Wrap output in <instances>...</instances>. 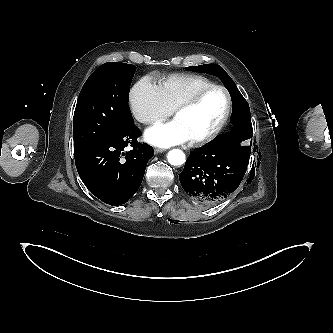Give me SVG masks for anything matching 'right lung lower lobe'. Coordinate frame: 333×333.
<instances>
[{
	"label": "right lung lower lobe",
	"mask_w": 333,
	"mask_h": 333,
	"mask_svg": "<svg viewBox=\"0 0 333 333\" xmlns=\"http://www.w3.org/2000/svg\"><path fill=\"white\" fill-rule=\"evenodd\" d=\"M134 123L120 134L100 141L74 155L80 178L88 190L109 205L126 203L139 189L148 160L154 155L148 144H140ZM131 145L133 149L124 152Z\"/></svg>",
	"instance_id": "right-lung-lower-lobe-1"
}]
</instances>
